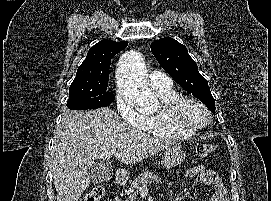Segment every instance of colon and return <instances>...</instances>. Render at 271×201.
Returning <instances> with one entry per match:
<instances>
[{
	"instance_id": "colon-1",
	"label": "colon",
	"mask_w": 271,
	"mask_h": 201,
	"mask_svg": "<svg viewBox=\"0 0 271 201\" xmlns=\"http://www.w3.org/2000/svg\"><path fill=\"white\" fill-rule=\"evenodd\" d=\"M214 152L215 146L213 143H202L197 147V153L203 158L213 155ZM104 193L105 188L102 185H96L81 201H101Z\"/></svg>"
}]
</instances>
